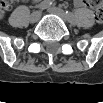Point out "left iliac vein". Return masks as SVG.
I'll return each instance as SVG.
<instances>
[{
	"label": "left iliac vein",
	"instance_id": "left-iliac-vein-1",
	"mask_svg": "<svg viewBox=\"0 0 103 103\" xmlns=\"http://www.w3.org/2000/svg\"><path fill=\"white\" fill-rule=\"evenodd\" d=\"M48 11L52 14H55L57 16H59L60 18H62L65 22H69V18L67 16V14L60 8L58 7H51L48 8Z\"/></svg>",
	"mask_w": 103,
	"mask_h": 103
}]
</instances>
